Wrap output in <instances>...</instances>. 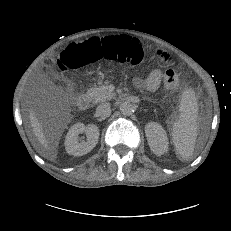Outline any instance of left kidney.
Masks as SVG:
<instances>
[{
  "label": "left kidney",
  "instance_id": "1",
  "mask_svg": "<svg viewBox=\"0 0 231 231\" xmlns=\"http://www.w3.org/2000/svg\"><path fill=\"white\" fill-rule=\"evenodd\" d=\"M145 133L151 151L161 156L168 151V137L163 127L156 122H149L145 126Z\"/></svg>",
  "mask_w": 231,
  "mask_h": 231
}]
</instances>
